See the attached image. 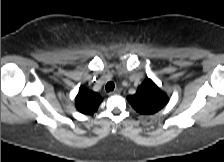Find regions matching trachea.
Returning a JSON list of instances; mask_svg holds the SVG:
<instances>
[{"mask_svg":"<svg viewBox=\"0 0 224 162\" xmlns=\"http://www.w3.org/2000/svg\"><path fill=\"white\" fill-rule=\"evenodd\" d=\"M115 88L114 82L110 81L106 84L105 89L107 92L113 91Z\"/></svg>","mask_w":224,"mask_h":162,"instance_id":"1","label":"trachea"}]
</instances>
